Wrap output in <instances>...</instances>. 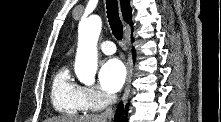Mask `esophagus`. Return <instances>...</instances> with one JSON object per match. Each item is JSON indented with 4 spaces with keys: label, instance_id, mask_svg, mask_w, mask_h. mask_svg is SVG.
<instances>
[{
    "label": "esophagus",
    "instance_id": "34e87169",
    "mask_svg": "<svg viewBox=\"0 0 221 122\" xmlns=\"http://www.w3.org/2000/svg\"><path fill=\"white\" fill-rule=\"evenodd\" d=\"M127 67V78H126V83H125V88H124V93L122 96V102L125 104L128 100L129 94H130V89H131V80H132V65L130 60L127 61L126 63Z\"/></svg>",
    "mask_w": 221,
    "mask_h": 122
}]
</instances>
